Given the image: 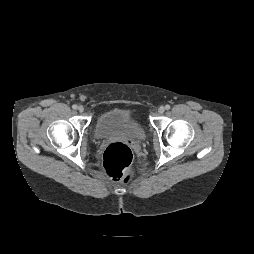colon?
Returning a JSON list of instances; mask_svg holds the SVG:
<instances>
[{"mask_svg":"<svg viewBox=\"0 0 254 254\" xmlns=\"http://www.w3.org/2000/svg\"><path fill=\"white\" fill-rule=\"evenodd\" d=\"M103 168L112 180L129 182L134 176L130 147L123 142L109 144L103 153Z\"/></svg>","mask_w":254,"mask_h":254,"instance_id":"obj_1","label":"colon"}]
</instances>
